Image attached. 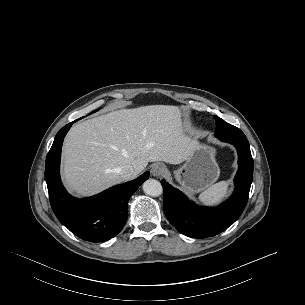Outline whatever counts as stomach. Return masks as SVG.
Returning a JSON list of instances; mask_svg holds the SVG:
<instances>
[{"label": "stomach", "instance_id": "0dacf381", "mask_svg": "<svg viewBox=\"0 0 305 305\" xmlns=\"http://www.w3.org/2000/svg\"><path fill=\"white\" fill-rule=\"evenodd\" d=\"M219 174L215 149L204 143H196L184 165L173 171L174 178L182 189L191 194L212 185Z\"/></svg>", "mask_w": 305, "mask_h": 305}]
</instances>
